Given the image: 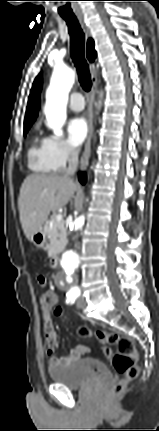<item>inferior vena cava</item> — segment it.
<instances>
[{"label": "inferior vena cava", "instance_id": "1", "mask_svg": "<svg viewBox=\"0 0 159 431\" xmlns=\"http://www.w3.org/2000/svg\"><path fill=\"white\" fill-rule=\"evenodd\" d=\"M68 153H69V159H68V168L66 170V173L64 174L65 177H71L74 175L77 165H78V151L72 147H68Z\"/></svg>", "mask_w": 159, "mask_h": 431}]
</instances>
